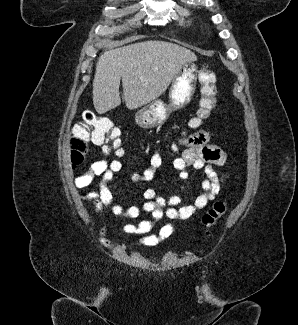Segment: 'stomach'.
<instances>
[{"mask_svg":"<svg viewBox=\"0 0 298 325\" xmlns=\"http://www.w3.org/2000/svg\"><path fill=\"white\" fill-rule=\"evenodd\" d=\"M198 66L195 62L182 64L178 74L174 76L168 90V102L153 100L147 106H143L135 114V122L142 128H154L166 122L173 110L184 108L191 102L197 84Z\"/></svg>","mask_w":298,"mask_h":325,"instance_id":"1","label":"stomach"}]
</instances>
